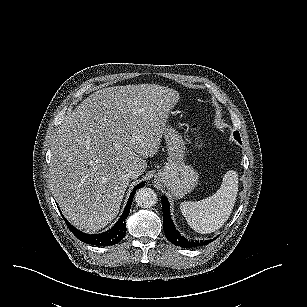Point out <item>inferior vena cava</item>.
Here are the masks:
<instances>
[{
    "mask_svg": "<svg viewBox=\"0 0 307 307\" xmlns=\"http://www.w3.org/2000/svg\"><path fill=\"white\" fill-rule=\"evenodd\" d=\"M134 175V172L132 173V172H129L128 174H127V177L128 178H130V177H132Z\"/></svg>",
    "mask_w": 307,
    "mask_h": 307,
    "instance_id": "602c4592",
    "label": "inferior vena cava"
}]
</instances>
